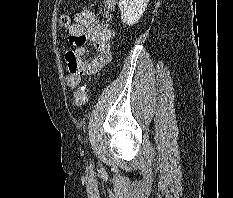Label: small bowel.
Returning <instances> with one entry per match:
<instances>
[{
    "label": "small bowel",
    "mask_w": 233,
    "mask_h": 198,
    "mask_svg": "<svg viewBox=\"0 0 233 198\" xmlns=\"http://www.w3.org/2000/svg\"><path fill=\"white\" fill-rule=\"evenodd\" d=\"M118 0H103V11L100 17L93 12L84 10L75 15L74 23L68 28L69 42L72 46L66 53L74 57L76 70H68L65 81L69 88H75L84 75L97 73L111 58L110 43L114 36L112 30V10ZM94 45L95 53L86 57L84 44Z\"/></svg>",
    "instance_id": "1"
}]
</instances>
